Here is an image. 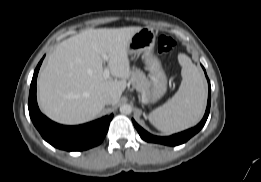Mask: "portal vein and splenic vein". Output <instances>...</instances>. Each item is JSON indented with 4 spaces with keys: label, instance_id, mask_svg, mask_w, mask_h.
I'll use <instances>...</instances> for the list:
<instances>
[{
    "label": "portal vein and splenic vein",
    "instance_id": "obj_1",
    "mask_svg": "<svg viewBox=\"0 0 261 182\" xmlns=\"http://www.w3.org/2000/svg\"><path fill=\"white\" fill-rule=\"evenodd\" d=\"M102 58H103L105 61H108V59H109V57H108V55H107L106 53H103V54H102ZM109 76H110V71H109V68L106 67V68L104 69V72H103V77H104L105 79H107V78H109Z\"/></svg>",
    "mask_w": 261,
    "mask_h": 182
}]
</instances>
